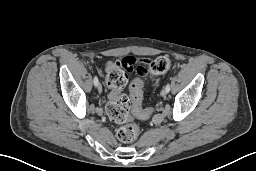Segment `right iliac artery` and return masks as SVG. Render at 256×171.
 <instances>
[{"label":"right iliac artery","instance_id":"82829eb1","mask_svg":"<svg viewBox=\"0 0 256 171\" xmlns=\"http://www.w3.org/2000/svg\"><path fill=\"white\" fill-rule=\"evenodd\" d=\"M98 83H99L98 78L95 76V77H94V85L97 86Z\"/></svg>","mask_w":256,"mask_h":171}]
</instances>
